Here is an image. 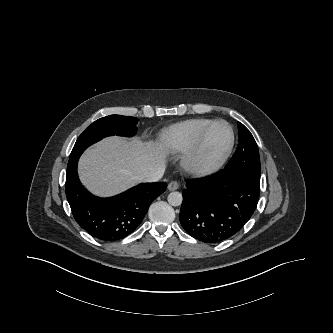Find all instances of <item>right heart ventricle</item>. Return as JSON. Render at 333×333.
<instances>
[{"instance_id":"obj_1","label":"right heart ventricle","mask_w":333,"mask_h":333,"mask_svg":"<svg viewBox=\"0 0 333 333\" xmlns=\"http://www.w3.org/2000/svg\"><path fill=\"white\" fill-rule=\"evenodd\" d=\"M213 121L209 118H192L173 124L161 132L160 143L172 152L187 151Z\"/></svg>"}]
</instances>
